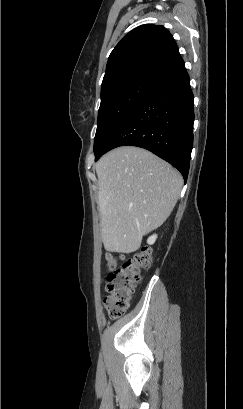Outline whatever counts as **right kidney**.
Listing matches in <instances>:
<instances>
[{"mask_svg": "<svg viewBox=\"0 0 243 409\" xmlns=\"http://www.w3.org/2000/svg\"><path fill=\"white\" fill-rule=\"evenodd\" d=\"M156 239H157V235L154 234V235H152V236H150V237L148 238L147 243H148L149 245H152V244L155 243Z\"/></svg>", "mask_w": 243, "mask_h": 409, "instance_id": "right-kidney-1", "label": "right kidney"}]
</instances>
